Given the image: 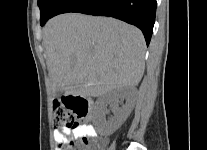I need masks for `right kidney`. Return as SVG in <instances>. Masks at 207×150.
<instances>
[{
	"instance_id": "1",
	"label": "right kidney",
	"mask_w": 207,
	"mask_h": 150,
	"mask_svg": "<svg viewBox=\"0 0 207 150\" xmlns=\"http://www.w3.org/2000/svg\"><path fill=\"white\" fill-rule=\"evenodd\" d=\"M131 90L127 87L114 89L96 101L94 108V118L96 121L103 124L104 132L108 135L114 133L125 122L129 116L132 105L130 103ZM126 99L127 103L121 108L118 106L120 100ZM111 105L114 116L108 122H105L104 117L107 113V106Z\"/></svg>"
}]
</instances>
